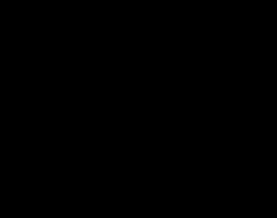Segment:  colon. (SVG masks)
<instances>
[{
    "mask_svg": "<svg viewBox=\"0 0 277 218\" xmlns=\"http://www.w3.org/2000/svg\"><path fill=\"white\" fill-rule=\"evenodd\" d=\"M216 89L219 94H226V87L222 84H216ZM42 92L43 102L47 109H53L58 102V95L52 88L44 89Z\"/></svg>",
    "mask_w": 277,
    "mask_h": 218,
    "instance_id": "5ec220e1",
    "label": "colon"
}]
</instances>
